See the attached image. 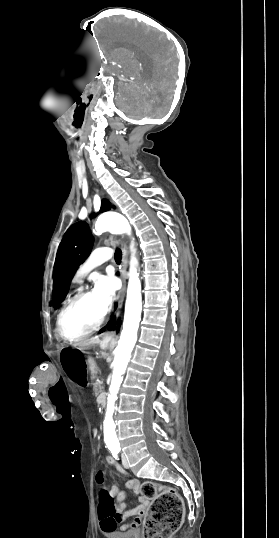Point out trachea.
<instances>
[{
    "instance_id": "3493384b",
    "label": "trachea",
    "mask_w": 279,
    "mask_h": 538,
    "mask_svg": "<svg viewBox=\"0 0 279 538\" xmlns=\"http://www.w3.org/2000/svg\"><path fill=\"white\" fill-rule=\"evenodd\" d=\"M114 258H115L116 262H120L121 259H122V252H121V250L119 248H117L115 250Z\"/></svg>"
}]
</instances>
